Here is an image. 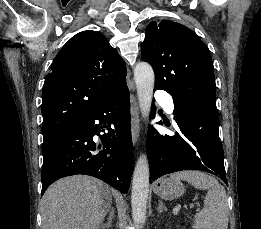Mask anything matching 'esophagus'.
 Instances as JSON below:
<instances>
[{
    "label": "esophagus",
    "mask_w": 261,
    "mask_h": 229,
    "mask_svg": "<svg viewBox=\"0 0 261 229\" xmlns=\"http://www.w3.org/2000/svg\"><path fill=\"white\" fill-rule=\"evenodd\" d=\"M130 102H131V116H132V121H131L132 140H133V144H136L140 134V117H139V105L135 94H131Z\"/></svg>",
    "instance_id": "34e87169"
}]
</instances>
